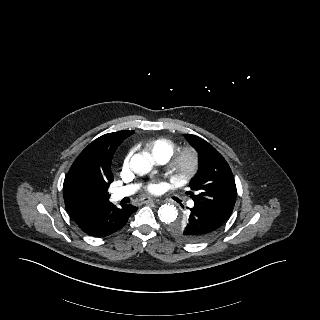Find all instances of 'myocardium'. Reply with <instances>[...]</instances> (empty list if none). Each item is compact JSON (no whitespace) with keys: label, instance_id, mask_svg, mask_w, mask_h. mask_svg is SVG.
<instances>
[{"label":"myocardium","instance_id":"f54148a6","mask_svg":"<svg viewBox=\"0 0 320 320\" xmlns=\"http://www.w3.org/2000/svg\"><path fill=\"white\" fill-rule=\"evenodd\" d=\"M199 165L198 151L193 146H184L171 159L168 171L173 182L186 183L197 173Z\"/></svg>","mask_w":320,"mask_h":320}]
</instances>
